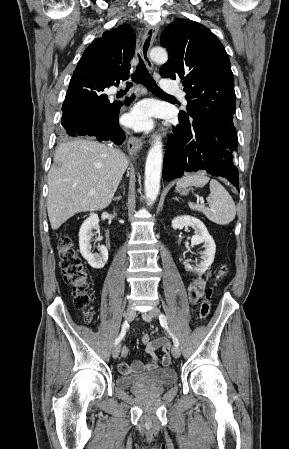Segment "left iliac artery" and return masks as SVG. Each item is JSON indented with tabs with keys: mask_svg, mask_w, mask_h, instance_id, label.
<instances>
[{
	"mask_svg": "<svg viewBox=\"0 0 289 449\" xmlns=\"http://www.w3.org/2000/svg\"><path fill=\"white\" fill-rule=\"evenodd\" d=\"M159 320H160V324L162 325V327H164L168 331L170 336L172 337L174 345L178 347L179 346V341L176 338V336L170 331V329L168 327V324H167L166 316L164 314H160L159 315Z\"/></svg>",
	"mask_w": 289,
	"mask_h": 449,
	"instance_id": "44dca946",
	"label": "left iliac artery"
}]
</instances>
